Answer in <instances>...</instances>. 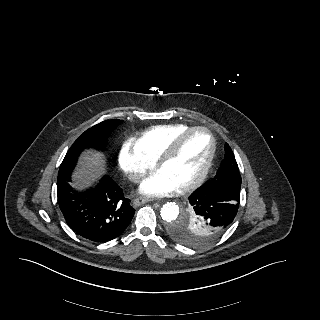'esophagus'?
<instances>
[{
	"instance_id": "1",
	"label": "esophagus",
	"mask_w": 320,
	"mask_h": 320,
	"mask_svg": "<svg viewBox=\"0 0 320 320\" xmlns=\"http://www.w3.org/2000/svg\"><path fill=\"white\" fill-rule=\"evenodd\" d=\"M149 201L150 200L148 198H146V197H138V198L134 199L133 204L135 206H140V205L145 204V203H147Z\"/></svg>"
}]
</instances>
